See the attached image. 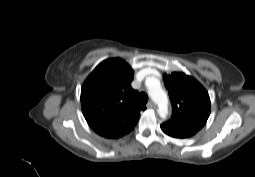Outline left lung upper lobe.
Listing matches in <instances>:
<instances>
[{
	"mask_svg": "<svg viewBox=\"0 0 255 177\" xmlns=\"http://www.w3.org/2000/svg\"><path fill=\"white\" fill-rule=\"evenodd\" d=\"M172 104V118L161 125L162 131L175 138L195 135L210 115V98L204 87L193 77L181 72L164 75Z\"/></svg>",
	"mask_w": 255,
	"mask_h": 177,
	"instance_id": "left-lung-upper-lobe-1",
	"label": "left lung upper lobe"
}]
</instances>
